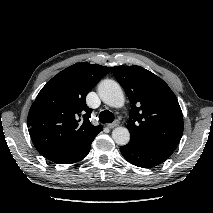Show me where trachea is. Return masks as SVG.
<instances>
[{
  "label": "trachea",
  "mask_w": 213,
  "mask_h": 213,
  "mask_svg": "<svg viewBox=\"0 0 213 213\" xmlns=\"http://www.w3.org/2000/svg\"><path fill=\"white\" fill-rule=\"evenodd\" d=\"M99 121L101 123H112L114 121V115L108 110H104L99 114Z\"/></svg>",
  "instance_id": "3493384b"
}]
</instances>
